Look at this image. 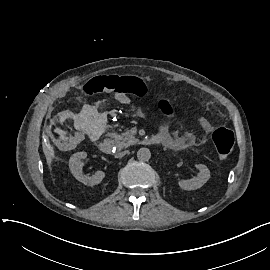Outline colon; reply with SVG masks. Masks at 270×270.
Returning a JSON list of instances; mask_svg holds the SVG:
<instances>
[{"mask_svg": "<svg viewBox=\"0 0 270 270\" xmlns=\"http://www.w3.org/2000/svg\"><path fill=\"white\" fill-rule=\"evenodd\" d=\"M83 91L88 96L95 93L118 92L139 99L148 98L153 100L148 94L145 84L133 74H128L125 77L121 75L95 76L84 86ZM157 107L164 115L178 117V108L167 101H157ZM212 141L218 156L226 157L233 150L234 133L227 127H218L212 132Z\"/></svg>", "mask_w": 270, "mask_h": 270, "instance_id": "colon-1", "label": "colon"}]
</instances>
